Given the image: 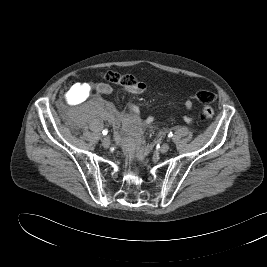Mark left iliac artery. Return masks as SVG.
<instances>
[{
	"label": "left iliac artery",
	"mask_w": 267,
	"mask_h": 267,
	"mask_svg": "<svg viewBox=\"0 0 267 267\" xmlns=\"http://www.w3.org/2000/svg\"><path fill=\"white\" fill-rule=\"evenodd\" d=\"M172 136H173L172 132L168 133V138H171Z\"/></svg>",
	"instance_id": "1"
}]
</instances>
